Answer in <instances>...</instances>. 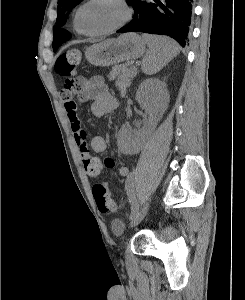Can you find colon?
<instances>
[{"label": "colon", "mask_w": 245, "mask_h": 300, "mask_svg": "<svg viewBox=\"0 0 245 300\" xmlns=\"http://www.w3.org/2000/svg\"><path fill=\"white\" fill-rule=\"evenodd\" d=\"M81 55L78 50H68L58 56L55 62L56 73L64 78L62 97H71L81 91L82 84L75 75L80 64ZM96 205L100 212L108 213L116 209V205L109 196L108 190H92Z\"/></svg>", "instance_id": "1"}]
</instances>
